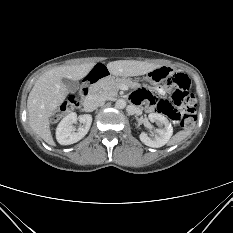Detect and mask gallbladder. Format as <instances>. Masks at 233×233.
Wrapping results in <instances>:
<instances>
[{"label":"gallbladder","instance_id":"gallbladder-1","mask_svg":"<svg viewBox=\"0 0 233 233\" xmlns=\"http://www.w3.org/2000/svg\"><path fill=\"white\" fill-rule=\"evenodd\" d=\"M62 82L65 84L69 92H75L79 89V82L71 79L64 78Z\"/></svg>","mask_w":233,"mask_h":233}]
</instances>
